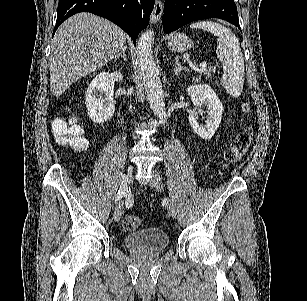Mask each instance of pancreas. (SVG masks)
<instances>
[{
  "mask_svg": "<svg viewBox=\"0 0 307 301\" xmlns=\"http://www.w3.org/2000/svg\"><path fill=\"white\" fill-rule=\"evenodd\" d=\"M215 68H212V70H204V72H200L199 76H196L195 80H200L202 74H205V76H207V78H209V76H212V72H214Z\"/></svg>",
  "mask_w": 307,
  "mask_h": 301,
  "instance_id": "cf45deb5",
  "label": "pancreas"
}]
</instances>
